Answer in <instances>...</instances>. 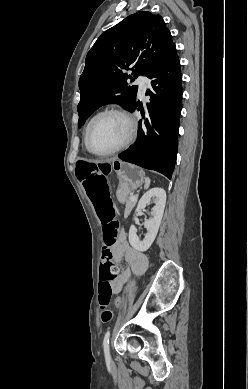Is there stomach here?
<instances>
[{
	"label": "stomach",
	"instance_id": "1",
	"mask_svg": "<svg viewBox=\"0 0 248 389\" xmlns=\"http://www.w3.org/2000/svg\"><path fill=\"white\" fill-rule=\"evenodd\" d=\"M113 170L119 179L116 196L120 202H124L129 193L142 185L144 171L136 165L121 161L113 162Z\"/></svg>",
	"mask_w": 248,
	"mask_h": 389
}]
</instances>
